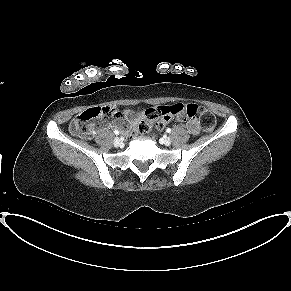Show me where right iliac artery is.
<instances>
[{"label":"right iliac artery","mask_w":291,"mask_h":291,"mask_svg":"<svg viewBox=\"0 0 291 291\" xmlns=\"http://www.w3.org/2000/svg\"><path fill=\"white\" fill-rule=\"evenodd\" d=\"M114 133H115L116 135L119 134V132H118L117 130H115Z\"/></svg>","instance_id":"right-iliac-artery-1"}]
</instances>
